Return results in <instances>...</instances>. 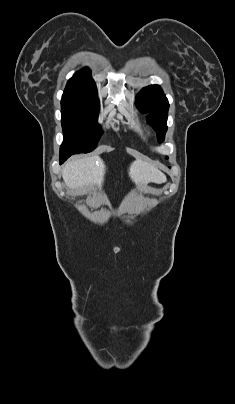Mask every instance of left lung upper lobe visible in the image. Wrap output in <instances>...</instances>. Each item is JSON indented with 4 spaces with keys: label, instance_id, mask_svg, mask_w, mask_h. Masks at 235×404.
<instances>
[{
    "label": "left lung upper lobe",
    "instance_id": "left-lung-upper-lobe-1",
    "mask_svg": "<svg viewBox=\"0 0 235 404\" xmlns=\"http://www.w3.org/2000/svg\"><path fill=\"white\" fill-rule=\"evenodd\" d=\"M136 104L140 112L149 114L148 123L156 131L158 142H163L167 131L169 103L162 89L158 85L143 88L137 95Z\"/></svg>",
    "mask_w": 235,
    "mask_h": 404
}]
</instances>
